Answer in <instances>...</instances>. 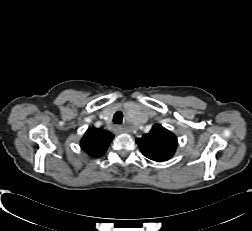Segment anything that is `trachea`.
Returning <instances> with one entry per match:
<instances>
[{"label": "trachea", "instance_id": "3493384b", "mask_svg": "<svg viewBox=\"0 0 252 231\" xmlns=\"http://www.w3.org/2000/svg\"><path fill=\"white\" fill-rule=\"evenodd\" d=\"M122 118H123V114L121 111H117L115 114H114V117H113V122L115 124H121L122 123Z\"/></svg>", "mask_w": 252, "mask_h": 231}]
</instances>
